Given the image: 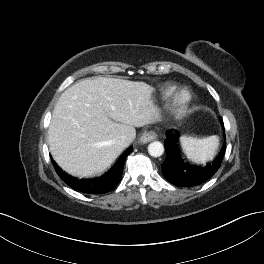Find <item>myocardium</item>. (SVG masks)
Returning a JSON list of instances; mask_svg holds the SVG:
<instances>
[{
  "label": "myocardium",
  "mask_w": 264,
  "mask_h": 264,
  "mask_svg": "<svg viewBox=\"0 0 264 264\" xmlns=\"http://www.w3.org/2000/svg\"><path fill=\"white\" fill-rule=\"evenodd\" d=\"M191 101V94L187 90H179L173 96V107H174V114L177 117H182L190 104Z\"/></svg>",
  "instance_id": "1"
}]
</instances>
